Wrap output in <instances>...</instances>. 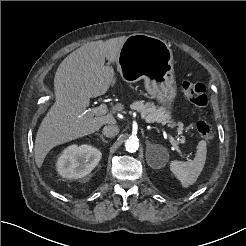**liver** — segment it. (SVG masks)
I'll use <instances>...</instances> for the list:
<instances>
[{
  "instance_id": "obj_1",
  "label": "liver",
  "mask_w": 246,
  "mask_h": 246,
  "mask_svg": "<svg viewBox=\"0 0 246 246\" xmlns=\"http://www.w3.org/2000/svg\"><path fill=\"white\" fill-rule=\"evenodd\" d=\"M126 39L121 36L86 43L60 63L54 78L56 101L42 120L35 139L34 156L39 168L53 147L116 123L112 113L94 116L87 107L90 98L105 94L110 85H115V72L112 66L105 65V59L117 63ZM123 109L120 103L112 108L113 112Z\"/></svg>"
}]
</instances>
